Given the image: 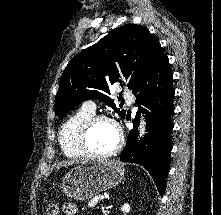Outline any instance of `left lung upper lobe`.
<instances>
[{"instance_id":"1","label":"left lung upper lobe","mask_w":221,"mask_h":215,"mask_svg":"<svg viewBox=\"0 0 221 215\" xmlns=\"http://www.w3.org/2000/svg\"><path fill=\"white\" fill-rule=\"evenodd\" d=\"M159 41L144 27L127 24L111 31L96 44L77 54L65 68L55 98L56 116L87 99L96 98L111 106L109 86L125 84L132 91L164 58Z\"/></svg>"}]
</instances>
